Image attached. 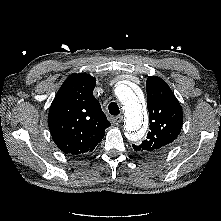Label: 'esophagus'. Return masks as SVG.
<instances>
[{
    "instance_id": "34e87169",
    "label": "esophagus",
    "mask_w": 221,
    "mask_h": 221,
    "mask_svg": "<svg viewBox=\"0 0 221 221\" xmlns=\"http://www.w3.org/2000/svg\"><path fill=\"white\" fill-rule=\"evenodd\" d=\"M112 122H113V124H115V125L120 124V123L122 122V116H115V117H113V118H112Z\"/></svg>"
}]
</instances>
